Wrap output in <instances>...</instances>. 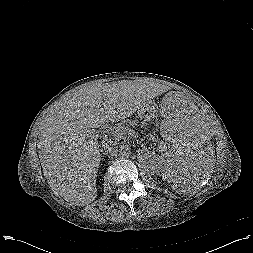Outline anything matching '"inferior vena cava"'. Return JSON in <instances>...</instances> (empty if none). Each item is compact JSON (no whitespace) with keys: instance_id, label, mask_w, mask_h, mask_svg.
I'll list each match as a JSON object with an SVG mask.
<instances>
[{"instance_id":"inferior-vena-cava-1","label":"inferior vena cava","mask_w":253,"mask_h":253,"mask_svg":"<svg viewBox=\"0 0 253 253\" xmlns=\"http://www.w3.org/2000/svg\"><path fill=\"white\" fill-rule=\"evenodd\" d=\"M104 147H106V149L109 151V153H110L111 155H113L114 152H118L117 147L109 146V145H107V144H106Z\"/></svg>"}]
</instances>
